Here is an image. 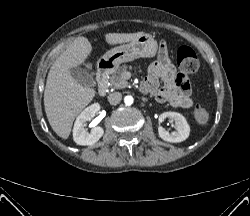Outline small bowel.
Masks as SVG:
<instances>
[{"instance_id":"obj_1","label":"small bowel","mask_w":250,"mask_h":216,"mask_svg":"<svg viewBox=\"0 0 250 216\" xmlns=\"http://www.w3.org/2000/svg\"><path fill=\"white\" fill-rule=\"evenodd\" d=\"M142 89L154 95L157 101L167 102L173 107L193 106L189 78L182 73L177 74L165 54L150 65Z\"/></svg>"}]
</instances>
